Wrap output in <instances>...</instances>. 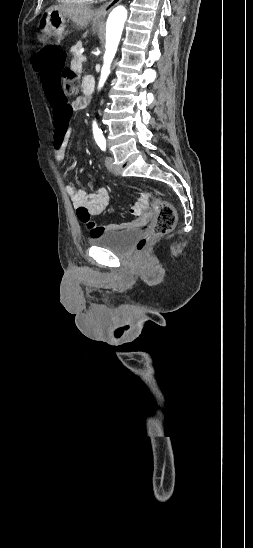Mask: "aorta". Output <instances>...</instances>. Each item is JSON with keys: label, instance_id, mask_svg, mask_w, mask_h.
<instances>
[{"label": "aorta", "instance_id": "obj_1", "mask_svg": "<svg viewBox=\"0 0 253 548\" xmlns=\"http://www.w3.org/2000/svg\"><path fill=\"white\" fill-rule=\"evenodd\" d=\"M127 14L128 12L126 8L121 5L115 7L109 14L106 24V50L103 57V66L101 69L99 88L104 85L108 75L110 74V66L118 48L124 23L127 19ZM94 136L95 138H101L102 132L98 128H95Z\"/></svg>", "mask_w": 253, "mask_h": 548}]
</instances>
